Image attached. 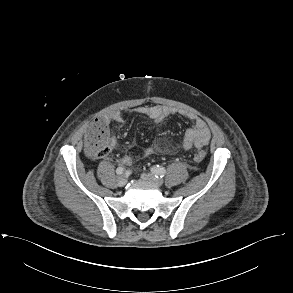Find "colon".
I'll use <instances>...</instances> for the list:
<instances>
[{"mask_svg": "<svg viewBox=\"0 0 293 293\" xmlns=\"http://www.w3.org/2000/svg\"><path fill=\"white\" fill-rule=\"evenodd\" d=\"M114 143L109 124L103 118H95L85 136L87 153L93 158L103 157L114 147ZM205 157L206 153L203 150H198L194 154L197 162L203 161Z\"/></svg>", "mask_w": 293, "mask_h": 293, "instance_id": "1", "label": "colon"}]
</instances>
